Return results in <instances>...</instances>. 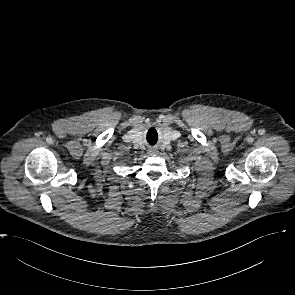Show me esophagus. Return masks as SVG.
Returning <instances> with one entry per match:
<instances>
[{
  "instance_id": "obj_1",
  "label": "esophagus",
  "mask_w": 295,
  "mask_h": 295,
  "mask_svg": "<svg viewBox=\"0 0 295 295\" xmlns=\"http://www.w3.org/2000/svg\"><path fill=\"white\" fill-rule=\"evenodd\" d=\"M153 151H155V150H150V153H153Z\"/></svg>"
}]
</instances>
